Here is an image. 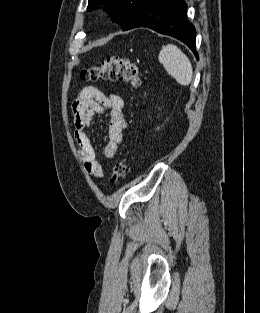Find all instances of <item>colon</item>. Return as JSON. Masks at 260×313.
Here are the masks:
<instances>
[{"mask_svg": "<svg viewBox=\"0 0 260 313\" xmlns=\"http://www.w3.org/2000/svg\"><path fill=\"white\" fill-rule=\"evenodd\" d=\"M80 76L83 80L121 81L138 90L142 86V77L137 64L122 57H109L98 66L84 68ZM129 172V165L125 158L117 160L111 171L110 184L117 183Z\"/></svg>", "mask_w": 260, "mask_h": 313, "instance_id": "obj_1", "label": "colon"}]
</instances>
